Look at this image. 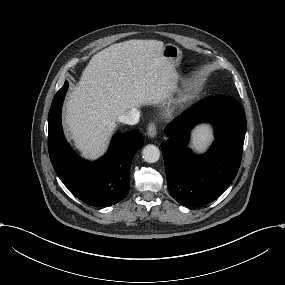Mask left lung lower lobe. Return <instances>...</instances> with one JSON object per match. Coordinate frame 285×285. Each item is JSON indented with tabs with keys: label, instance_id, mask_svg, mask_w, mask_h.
Here are the masks:
<instances>
[{
	"label": "left lung lower lobe",
	"instance_id": "obj_1",
	"mask_svg": "<svg viewBox=\"0 0 285 285\" xmlns=\"http://www.w3.org/2000/svg\"><path fill=\"white\" fill-rule=\"evenodd\" d=\"M208 121L216 140L210 150L192 156L186 147L193 126ZM246 118L234 97L216 96L194 104L165 130L161 144L168 188L182 205L193 207L214 201L235 178L242 157Z\"/></svg>",
	"mask_w": 285,
	"mask_h": 285
}]
</instances>
